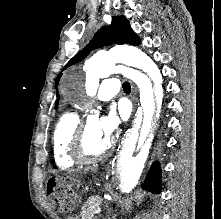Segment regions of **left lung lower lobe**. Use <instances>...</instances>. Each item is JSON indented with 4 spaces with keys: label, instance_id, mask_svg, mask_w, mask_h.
I'll return each instance as SVG.
<instances>
[{
    "label": "left lung lower lobe",
    "instance_id": "obj_1",
    "mask_svg": "<svg viewBox=\"0 0 221 219\" xmlns=\"http://www.w3.org/2000/svg\"><path fill=\"white\" fill-rule=\"evenodd\" d=\"M142 187L153 193H160V168L158 163L152 165Z\"/></svg>",
    "mask_w": 221,
    "mask_h": 219
}]
</instances>
